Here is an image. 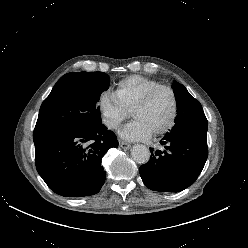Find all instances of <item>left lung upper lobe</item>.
Masks as SVG:
<instances>
[{"label":"left lung upper lobe","instance_id":"left-lung-upper-lobe-1","mask_svg":"<svg viewBox=\"0 0 248 248\" xmlns=\"http://www.w3.org/2000/svg\"><path fill=\"white\" fill-rule=\"evenodd\" d=\"M176 97L177 116L171 132L177 130H203L207 132L208 122L201 104L178 82L172 83Z\"/></svg>","mask_w":248,"mask_h":248}]
</instances>
